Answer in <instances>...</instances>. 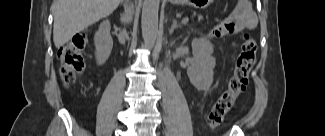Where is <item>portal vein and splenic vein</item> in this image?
Here are the masks:
<instances>
[{"label":"portal vein and splenic vein","mask_w":325,"mask_h":136,"mask_svg":"<svg viewBox=\"0 0 325 136\" xmlns=\"http://www.w3.org/2000/svg\"><path fill=\"white\" fill-rule=\"evenodd\" d=\"M188 20H189V18L188 17H185V18H183L182 22L183 23H186V22H188Z\"/></svg>","instance_id":"18ae733b"}]
</instances>
